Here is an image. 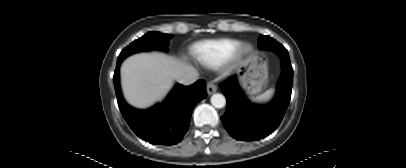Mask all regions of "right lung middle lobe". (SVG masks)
<instances>
[{
    "mask_svg": "<svg viewBox=\"0 0 406 168\" xmlns=\"http://www.w3.org/2000/svg\"><path fill=\"white\" fill-rule=\"evenodd\" d=\"M168 34H162L160 32H148L138 40L132 42L120 53L117 63L123 61L127 56L141 52L150 51L154 49L166 50L168 46Z\"/></svg>",
    "mask_w": 406,
    "mask_h": 168,
    "instance_id": "1",
    "label": "right lung middle lobe"
}]
</instances>
